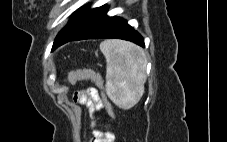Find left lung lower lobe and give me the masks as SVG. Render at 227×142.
<instances>
[{
  "instance_id": "left-lung-lower-lobe-1",
  "label": "left lung lower lobe",
  "mask_w": 227,
  "mask_h": 142,
  "mask_svg": "<svg viewBox=\"0 0 227 142\" xmlns=\"http://www.w3.org/2000/svg\"><path fill=\"white\" fill-rule=\"evenodd\" d=\"M107 10L108 7L103 9L91 22L79 30L68 41L117 38L128 40L144 47L142 36L129 26L126 20L119 17H108L106 15Z\"/></svg>"
}]
</instances>
